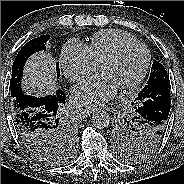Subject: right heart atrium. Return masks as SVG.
<instances>
[{"mask_svg":"<svg viewBox=\"0 0 184 184\" xmlns=\"http://www.w3.org/2000/svg\"><path fill=\"white\" fill-rule=\"evenodd\" d=\"M60 64L66 78L71 82L82 79L97 68L88 46L78 39H71L63 46Z\"/></svg>","mask_w":184,"mask_h":184,"instance_id":"right-heart-atrium-1","label":"right heart atrium"}]
</instances>
